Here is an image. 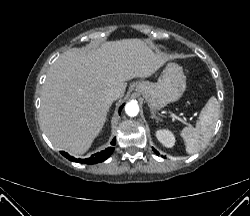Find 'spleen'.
Returning a JSON list of instances; mask_svg holds the SVG:
<instances>
[{
	"label": "spleen",
	"mask_w": 250,
	"mask_h": 216,
	"mask_svg": "<svg viewBox=\"0 0 250 216\" xmlns=\"http://www.w3.org/2000/svg\"><path fill=\"white\" fill-rule=\"evenodd\" d=\"M219 114V102L211 97L200 114V120L195 127H185L180 135L184 139L186 152L194 154L204 148L210 141Z\"/></svg>",
	"instance_id": "spleen-1"
}]
</instances>
